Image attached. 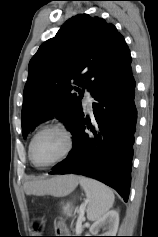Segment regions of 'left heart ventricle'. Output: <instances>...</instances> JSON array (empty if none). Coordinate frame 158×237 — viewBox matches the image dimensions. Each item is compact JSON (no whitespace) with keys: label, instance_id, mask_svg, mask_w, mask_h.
I'll return each instance as SVG.
<instances>
[{"label":"left heart ventricle","instance_id":"left-heart-ventricle-1","mask_svg":"<svg viewBox=\"0 0 158 237\" xmlns=\"http://www.w3.org/2000/svg\"><path fill=\"white\" fill-rule=\"evenodd\" d=\"M66 148L64 135L57 130L41 133L33 145V158L38 164H46L58 158Z\"/></svg>","mask_w":158,"mask_h":237}]
</instances>
